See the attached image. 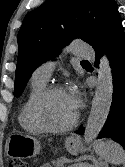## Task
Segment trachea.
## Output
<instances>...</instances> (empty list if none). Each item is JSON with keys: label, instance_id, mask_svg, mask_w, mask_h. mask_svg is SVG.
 Instances as JSON below:
<instances>
[{"label": "trachea", "instance_id": "trachea-1", "mask_svg": "<svg viewBox=\"0 0 125 167\" xmlns=\"http://www.w3.org/2000/svg\"><path fill=\"white\" fill-rule=\"evenodd\" d=\"M82 62H84V63L86 62L87 63L88 61L87 60H83Z\"/></svg>", "mask_w": 125, "mask_h": 167}]
</instances>
